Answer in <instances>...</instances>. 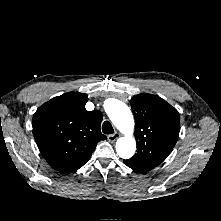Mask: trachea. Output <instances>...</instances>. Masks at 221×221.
Segmentation results:
<instances>
[{"mask_svg":"<svg viewBox=\"0 0 221 221\" xmlns=\"http://www.w3.org/2000/svg\"><path fill=\"white\" fill-rule=\"evenodd\" d=\"M102 132L104 134H113L114 129L109 121H105L102 125Z\"/></svg>","mask_w":221,"mask_h":221,"instance_id":"3493384b","label":"trachea"}]
</instances>
